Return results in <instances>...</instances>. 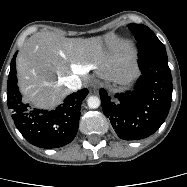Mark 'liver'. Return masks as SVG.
Segmentation results:
<instances>
[{
    "mask_svg": "<svg viewBox=\"0 0 187 187\" xmlns=\"http://www.w3.org/2000/svg\"><path fill=\"white\" fill-rule=\"evenodd\" d=\"M101 42L99 38L68 39L51 32L33 34L25 41L16 60L24 102L53 109L70 94L67 77L77 74L87 84L92 69L106 81L125 82L133 75L134 57L122 53L118 47L102 55Z\"/></svg>",
    "mask_w": 187,
    "mask_h": 187,
    "instance_id": "obj_1",
    "label": "liver"
}]
</instances>
